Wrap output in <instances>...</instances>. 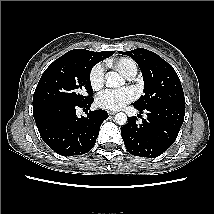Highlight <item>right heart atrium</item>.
Wrapping results in <instances>:
<instances>
[{
  "label": "right heart atrium",
  "mask_w": 214,
  "mask_h": 214,
  "mask_svg": "<svg viewBox=\"0 0 214 214\" xmlns=\"http://www.w3.org/2000/svg\"><path fill=\"white\" fill-rule=\"evenodd\" d=\"M105 81V68L102 63L95 64L89 73V82L93 90H99L103 87Z\"/></svg>",
  "instance_id": "1"
}]
</instances>
